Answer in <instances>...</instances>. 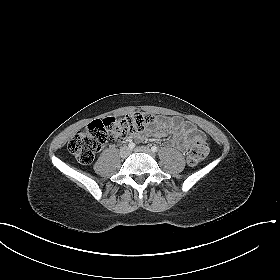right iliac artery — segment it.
Instances as JSON below:
<instances>
[{"label": "right iliac artery", "mask_w": 280, "mask_h": 280, "mask_svg": "<svg viewBox=\"0 0 280 280\" xmlns=\"http://www.w3.org/2000/svg\"><path fill=\"white\" fill-rule=\"evenodd\" d=\"M128 147H129L130 149H133V148L135 147V143L130 142V143L128 144Z\"/></svg>", "instance_id": "right-iliac-artery-1"}]
</instances>
